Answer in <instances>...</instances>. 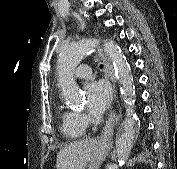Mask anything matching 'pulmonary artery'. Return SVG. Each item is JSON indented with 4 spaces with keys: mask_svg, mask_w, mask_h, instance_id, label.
Listing matches in <instances>:
<instances>
[{
    "mask_svg": "<svg viewBox=\"0 0 177 169\" xmlns=\"http://www.w3.org/2000/svg\"><path fill=\"white\" fill-rule=\"evenodd\" d=\"M91 70L87 65L79 66L75 71V77L79 80L87 79L91 76Z\"/></svg>",
    "mask_w": 177,
    "mask_h": 169,
    "instance_id": "pulmonary-artery-1",
    "label": "pulmonary artery"
}]
</instances>
